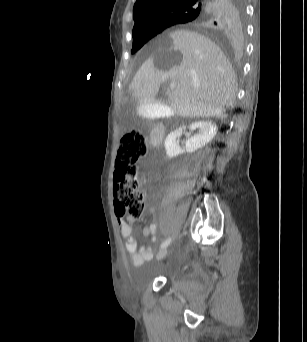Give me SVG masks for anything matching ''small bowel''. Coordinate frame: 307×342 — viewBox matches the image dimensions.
Here are the masks:
<instances>
[{
    "label": "small bowel",
    "instance_id": "1",
    "mask_svg": "<svg viewBox=\"0 0 307 342\" xmlns=\"http://www.w3.org/2000/svg\"><path fill=\"white\" fill-rule=\"evenodd\" d=\"M151 214L154 213L152 208L149 209ZM118 227L121 235L125 239L126 250L131 257V263L133 266H141L144 262L152 259L154 254V243L156 240L157 225L152 222L146 228H144L143 233L145 236H152V243L146 246H138L135 236L132 234V227L130 225L134 220L128 219L126 221L124 218L120 217L117 220Z\"/></svg>",
    "mask_w": 307,
    "mask_h": 342
}]
</instances>
